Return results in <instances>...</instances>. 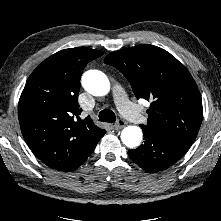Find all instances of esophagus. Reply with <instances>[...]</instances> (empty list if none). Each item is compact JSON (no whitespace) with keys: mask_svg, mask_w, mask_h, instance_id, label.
Returning a JSON list of instances; mask_svg holds the SVG:
<instances>
[{"mask_svg":"<svg viewBox=\"0 0 221 221\" xmlns=\"http://www.w3.org/2000/svg\"><path fill=\"white\" fill-rule=\"evenodd\" d=\"M126 126V122L122 119L118 120L117 123L114 125L116 130H120Z\"/></svg>","mask_w":221,"mask_h":221,"instance_id":"34e87169","label":"esophagus"}]
</instances>
